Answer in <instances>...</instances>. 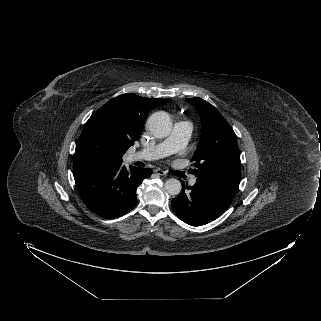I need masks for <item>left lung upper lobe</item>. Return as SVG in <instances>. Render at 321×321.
<instances>
[{
	"label": "left lung upper lobe",
	"instance_id": "left-lung-upper-lobe-1",
	"mask_svg": "<svg viewBox=\"0 0 321 321\" xmlns=\"http://www.w3.org/2000/svg\"><path fill=\"white\" fill-rule=\"evenodd\" d=\"M201 118V137L193 155L196 177L212 173H241L240 151L236 134L219 111L207 101L187 98Z\"/></svg>",
	"mask_w": 321,
	"mask_h": 321
}]
</instances>
